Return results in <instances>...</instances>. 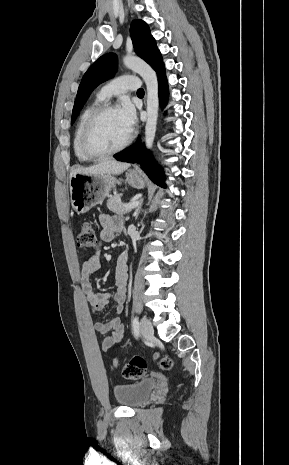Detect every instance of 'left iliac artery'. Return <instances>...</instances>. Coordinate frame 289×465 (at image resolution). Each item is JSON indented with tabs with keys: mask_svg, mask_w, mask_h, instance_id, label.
Wrapping results in <instances>:
<instances>
[{
	"mask_svg": "<svg viewBox=\"0 0 289 465\" xmlns=\"http://www.w3.org/2000/svg\"><path fill=\"white\" fill-rule=\"evenodd\" d=\"M133 331L134 335L137 337L139 335V322L137 317L133 319Z\"/></svg>",
	"mask_w": 289,
	"mask_h": 465,
	"instance_id": "obj_1",
	"label": "left iliac artery"
}]
</instances>
